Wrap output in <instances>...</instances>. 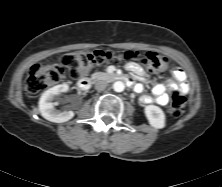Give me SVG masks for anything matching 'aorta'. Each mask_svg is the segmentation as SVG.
Masks as SVG:
<instances>
[{
    "mask_svg": "<svg viewBox=\"0 0 222 187\" xmlns=\"http://www.w3.org/2000/svg\"><path fill=\"white\" fill-rule=\"evenodd\" d=\"M113 89L116 92H122L125 89V85H124V83L122 81H116L113 84Z\"/></svg>",
    "mask_w": 222,
    "mask_h": 187,
    "instance_id": "aorta-1",
    "label": "aorta"
}]
</instances>
